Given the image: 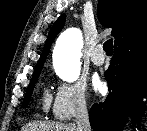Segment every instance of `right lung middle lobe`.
Here are the masks:
<instances>
[{
	"mask_svg": "<svg viewBox=\"0 0 147 131\" xmlns=\"http://www.w3.org/2000/svg\"><path fill=\"white\" fill-rule=\"evenodd\" d=\"M39 74H40V71L33 74L32 80H31V82H30V84L28 86L27 93H26L25 98L23 100V106L24 107L27 106V104H28V102L30 100V97L32 95V92H33V89H34V86H35V82L37 81Z\"/></svg>",
	"mask_w": 147,
	"mask_h": 131,
	"instance_id": "obj_1",
	"label": "right lung middle lobe"
}]
</instances>
